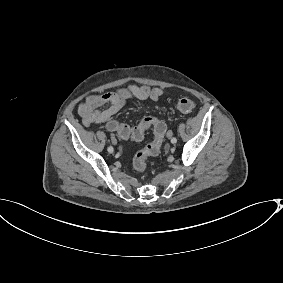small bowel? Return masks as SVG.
<instances>
[{"instance_id": "obj_1", "label": "small bowel", "mask_w": 283, "mask_h": 283, "mask_svg": "<svg viewBox=\"0 0 283 283\" xmlns=\"http://www.w3.org/2000/svg\"><path fill=\"white\" fill-rule=\"evenodd\" d=\"M163 92L159 88L129 84L115 91L89 95L78 107L85 126L106 123L116 115L130 99L157 101Z\"/></svg>"}]
</instances>
